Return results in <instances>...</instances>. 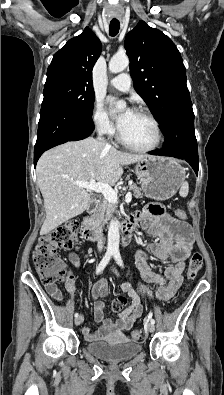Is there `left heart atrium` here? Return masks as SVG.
Returning a JSON list of instances; mask_svg holds the SVG:
<instances>
[{
    "instance_id": "obj_1",
    "label": "left heart atrium",
    "mask_w": 224,
    "mask_h": 395,
    "mask_svg": "<svg viewBox=\"0 0 224 395\" xmlns=\"http://www.w3.org/2000/svg\"><path fill=\"white\" fill-rule=\"evenodd\" d=\"M113 99H109L110 103H113ZM133 113V110L128 108L127 110H125L123 113H121L120 115L117 116L116 121L118 124L119 129L124 125L125 121L127 120V118Z\"/></svg>"
}]
</instances>
